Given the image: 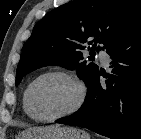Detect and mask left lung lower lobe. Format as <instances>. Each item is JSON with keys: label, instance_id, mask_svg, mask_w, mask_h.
Segmentation results:
<instances>
[{"label": "left lung lower lobe", "instance_id": "obj_1", "mask_svg": "<svg viewBox=\"0 0 141 139\" xmlns=\"http://www.w3.org/2000/svg\"><path fill=\"white\" fill-rule=\"evenodd\" d=\"M113 60L106 85L92 77L81 108L56 122L84 127L112 139H141V24L106 49Z\"/></svg>", "mask_w": 141, "mask_h": 139}]
</instances>
